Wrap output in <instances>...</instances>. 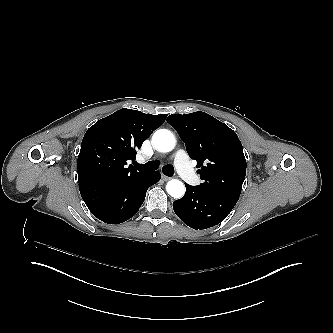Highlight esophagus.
Returning <instances> with one entry per match:
<instances>
[{"mask_svg":"<svg viewBox=\"0 0 333 333\" xmlns=\"http://www.w3.org/2000/svg\"><path fill=\"white\" fill-rule=\"evenodd\" d=\"M162 179H163L164 181H168V180H170L171 178H170V177H167V176H165V175H162Z\"/></svg>","mask_w":333,"mask_h":333,"instance_id":"esophagus-1","label":"esophagus"}]
</instances>
